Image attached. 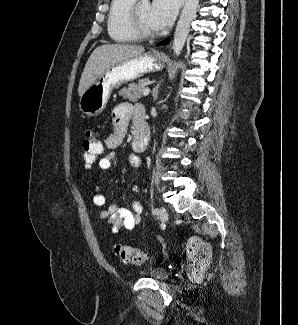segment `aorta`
<instances>
[{
	"label": "aorta",
	"mask_w": 298,
	"mask_h": 325,
	"mask_svg": "<svg viewBox=\"0 0 298 325\" xmlns=\"http://www.w3.org/2000/svg\"><path fill=\"white\" fill-rule=\"evenodd\" d=\"M142 2L143 4H150V0H142ZM198 4L199 0H185L183 4V8L181 10V14L179 16V20L176 24L175 32L173 34V58H177V56H180L185 46L187 36L190 32L191 22L193 18H195V14L197 12Z\"/></svg>",
	"instance_id": "1"
}]
</instances>
